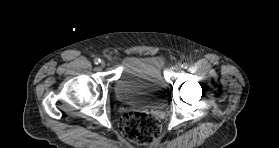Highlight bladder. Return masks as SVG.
I'll use <instances>...</instances> for the list:
<instances>
[{"instance_id": "obj_1", "label": "bladder", "mask_w": 279, "mask_h": 148, "mask_svg": "<svg viewBox=\"0 0 279 148\" xmlns=\"http://www.w3.org/2000/svg\"><path fill=\"white\" fill-rule=\"evenodd\" d=\"M164 60L159 56L130 57L122 65L114 94L121 104L163 108L166 104Z\"/></svg>"}]
</instances>
